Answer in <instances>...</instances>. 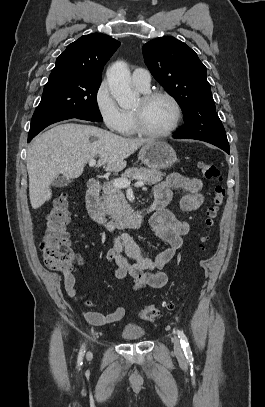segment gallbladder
Segmentation results:
<instances>
[{
	"label": "gallbladder",
	"mask_w": 265,
	"mask_h": 407,
	"mask_svg": "<svg viewBox=\"0 0 265 407\" xmlns=\"http://www.w3.org/2000/svg\"><path fill=\"white\" fill-rule=\"evenodd\" d=\"M69 183H71V180H70V179L61 176V177H57L56 179L53 180L52 186H53V187L60 188V187H65V186H67Z\"/></svg>",
	"instance_id": "gallbladder-1"
}]
</instances>
